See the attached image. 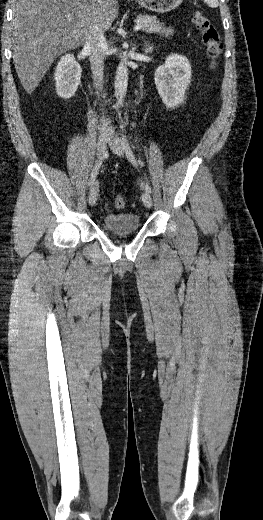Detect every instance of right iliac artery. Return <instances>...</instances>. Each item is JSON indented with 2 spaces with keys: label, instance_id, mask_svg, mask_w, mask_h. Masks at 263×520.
<instances>
[{
  "label": "right iliac artery",
  "instance_id": "right-iliac-artery-1",
  "mask_svg": "<svg viewBox=\"0 0 263 520\" xmlns=\"http://www.w3.org/2000/svg\"><path fill=\"white\" fill-rule=\"evenodd\" d=\"M106 156H107V153L105 152L104 155L102 157H100L96 161V164H95V166H94V168H93V170L91 172V175H90V179H89V183H88L89 186L93 185V183L95 181V178H96V176H97V174L99 172V169H100V167H101V165H102V163H103V161H104Z\"/></svg>",
  "mask_w": 263,
  "mask_h": 520
}]
</instances>
